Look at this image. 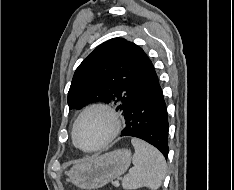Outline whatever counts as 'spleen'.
Returning <instances> with one entry per match:
<instances>
[{"label":"spleen","mask_w":234,"mask_h":190,"mask_svg":"<svg viewBox=\"0 0 234 190\" xmlns=\"http://www.w3.org/2000/svg\"><path fill=\"white\" fill-rule=\"evenodd\" d=\"M131 143L135 149L133 167L123 178L122 187L125 190H135L148 187L157 190L166 175V162L163 155L145 141L133 138Z\"/></svg>","instance_id":"1"}]
</instances>
